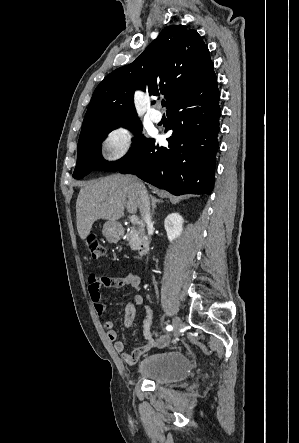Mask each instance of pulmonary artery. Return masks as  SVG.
I'll return each mask as SVG.
<instances>
[{
    "mask_svg": "<svg viewBox=\"0 0 299 443\" xmlns=\"http://www.w3.org/2000/svg\"><path fill=\"white\" fill-rule=\"evenodd\" d=\"M150 118L153 122H160L162 120V114L158 110H152L150 113Z\"/></svg>",
    "mask_w": 299,
    "mask_h": 443,
    "instance_id": "obj_1",
    "label": "pulmonary artery"
}]
</instances>
